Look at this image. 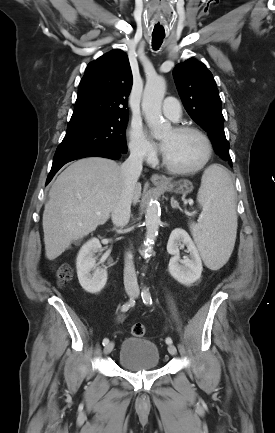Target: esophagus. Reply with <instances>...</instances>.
Returning a JSON list of instances; mask_svg holds the SVG:
<instances>
[{
	"instance_id": "obj_1",
	"label": "esophagus",
	"mask_w": 275,
	"mask_h": 433,
	"mask_svg": "<svg viewBox=\"0 0 275 433\" xmlns=\"http://www.w3.org/2000/svg\"><path fill=\"white\" fill-rule=\"evenodd\" d=\"M151 181L154 185L157 186H164L166 184H168V180L165 176H161L159 174H153L151 176Z\"/></svg>"
}]
</instances>
